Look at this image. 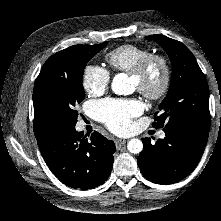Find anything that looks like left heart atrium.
I'll use <instances>...</instances> for the list:
<instances>
[{"instance_id":"obj_1","label":"left heart atrium","mask_w":221,"mask_h":221,"mask_svg":"<svg viewBox=\"0 0 221 221\" xmlns=\"http://www.w3.org/2000/svg\"><path fill=\"white\" fill-rule=\"evenodd\" d=\"M142 110L141 102L135 99H107L95 105L97 118L117 134L128 133L131 129L132 118L139 115Z\"/></svg>"}]
</instances>
